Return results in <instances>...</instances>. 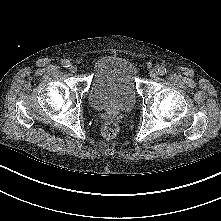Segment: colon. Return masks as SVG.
Returning <instances> with one entry per match:
<instances>
[{
    "mask_svg": "<svg viewBox=\"0 0 221 221\" xmlns=\"http://www.w3.org/2000/svg\"><path fill=\"white\" fill-rule=\"evenodd\" d=\"M119 127L114 121H107L102 127V134L107 139H112L117 136Z\"/></svg>",
    "mask_w": 221,
    "mask_h": 221,
    "instance_id": "obj_1",
    "label": "colon"
}]
</instances>
